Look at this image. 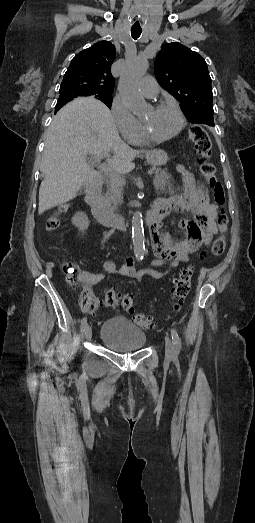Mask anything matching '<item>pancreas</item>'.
<instances>
[{"mask_svg":"<svg viewBox=\"0 0 255 523\" xmlns=\"http://www.w3.org/2000/svg\"><path fill=\"white\" fill-rule=\"evenodd\" d=\"M171 176L164 172V170H154V186L157 194H174V190L170 184ZM107 184V200H110L113 204V210H117L118 204H122V188L125 184L123 176L120 174H113V176H107L105 178Z\"/></svg>","mask_w":255,"mask_h":523,"instance_id":"1","label":"pancreas"}]
</instances>
